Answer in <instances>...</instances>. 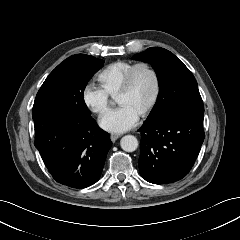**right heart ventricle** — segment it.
Segmentation results:
<instances>
[{"instance_id": "e07e8e85", "label": "right heart ventricle", "mask_w": 240, "mask_h": 240, "mask_svg": "<svg viewBox=\"0 0 240 240\" xmlns=\"http://www.w3.org/2000/svg\"><path fill=\"white\" fill-rule=\"evenodd\" d=\"M134 64V62L120 60L107 65L98 74L101 88L108 95L115 97L123 84L127 72Z\"/></svg>"}]
</instances>
